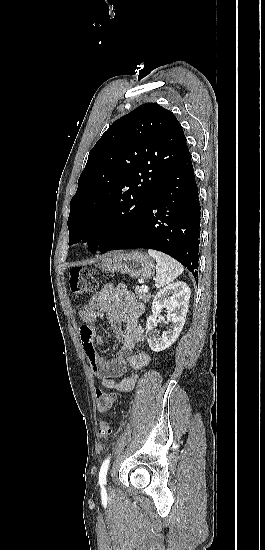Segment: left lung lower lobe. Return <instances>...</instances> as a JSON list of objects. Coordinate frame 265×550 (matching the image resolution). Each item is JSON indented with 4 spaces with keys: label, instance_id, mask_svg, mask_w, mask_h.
Here are the masks:
<instances>
[{
    "label": "left lung lower lobe",
    "instance_id": "0a47b994",
    "mask_svg": "<svg viewBox=\"0 0 265 550\" xmlns=\"http://www.w3.org/2000/svg\"><path fill=\"white\" fill-rule=\"evenodd\" d=\"M200 203L189 149L170 171L135 225L100 254L148 248L164 252L198 274Z\"/></svg>",
    "mask_w": 265,
    "mask_h": 550
}]
</instances>
